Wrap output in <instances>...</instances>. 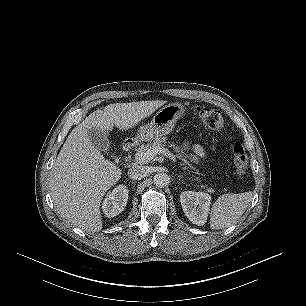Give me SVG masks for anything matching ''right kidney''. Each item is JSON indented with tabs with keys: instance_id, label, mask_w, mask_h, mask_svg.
I'll list each match as a JSON object with an SVG mask.
<instances>
[{
	"instance_id": "1",
	"label": "right kidney",
	"mask_w": 306,
	"mask_h": 306,
	"mask_svg": "<svg viewBox=\"0 0 306 306\" xmlns=\"http://www.w3.org/2000/svg\"><path fill=\"white\" fill-rule=\"evenodd\" d=\"M128 193L125 185H119L108 192L102 204L104 214L109 218L120 214L127 204Z\"/></svg>"
}]
</instances>
